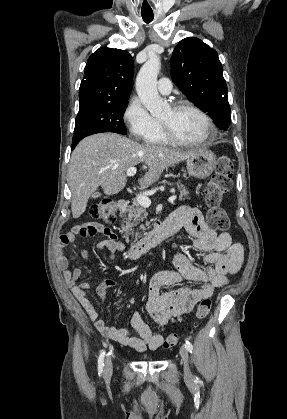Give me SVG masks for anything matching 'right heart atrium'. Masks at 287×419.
<instances>
[{
	"instance_id": "right-heart-atrium-1",
	"label": "right heart atrium",
	"mask_w": 287,
	"mask_h": 419,
	"mask_svg": "<svg viewBox=\"0 0 287 419\" xmlns=\"http://www.w3.org/2000/svg\"><path fill=\"white\" fill-rule=\"evenodd\" d=\"M123 120L130 134L148 141L160 129L159 122L149 113L138 97H132L124 113Z\"/></svg>"
}]
</instances>
